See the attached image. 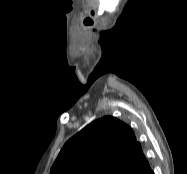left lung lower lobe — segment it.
<instances>
[{"mask_svg": "<svg viewBox=\"0 0 187 174\" xmlns=\"http://www.w3.org/2000/svg\"><path fill=\"white\" fill-rule=\"evenodd\" d=\"M139 170L137 169L133 174H139ZM142 174H154V172L151 170L150 166L146 167L143 171Z\"/></svg>", "mask_w": 187, "mask_h": 174, "instance_id": "obj_1", "label": "left lung lower lobe"}]
</instances>
